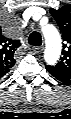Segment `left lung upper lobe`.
Listing matches in <instances>:
<instances>
[{"label": "left lung upper lobe", "instance_id": "obj_1", "mask_svg": "<svg viewBox=\"0 0 71 119\" xmlns=\"http://www.w3.org/2000/svg\"><path fill=\"white\" fill-rule=\"evenodd\" d=\"M50 13L58 23L64 41L62 57L53 67L71 72V5H65L58 10L51 8Z\"/></svg>", "mask_w": 71, "mask_h": 119}]
</instances>
